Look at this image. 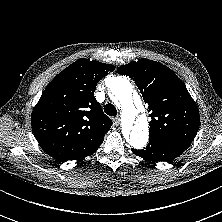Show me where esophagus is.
I'll return each instance as SVG.
<instances>
[{"mask_svg": "<svg viewBox=\"0 0 222 222\" xmlns=\"http://www.w3.org/2000/svg\"><path fill=\"white\" fill-rule=\"evenodd\" d=\"M114 123H115L116 125H119V124H120V116H116V117L114 118Z\"/></svg>", "mask_w": 222, "mask_h": 222, "instance_id": "1", "label": "esophagus"}]
</instances>
